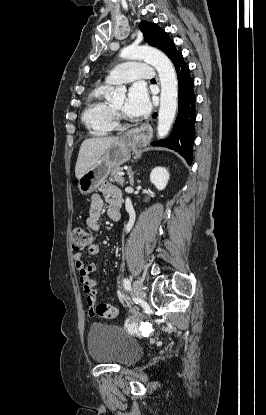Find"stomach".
Masks as SVG:
<instances>
[{
    "instance_id": "stomach-1",
    "label": "stomach",
    "mask_w": 266,
    "mask_h": 415,
    "mask_svg": "<svg viewBox=\"0 0 266 415\" xmlns=\"http://www.w3.org/2000/svg\"><path fill=\"white\" fill-rule=\"evenodd\" d=\"M130 147L131 141L128 137H122L110 145L98 161L78 179L80 193H92L114 168L126 163L131 157Z\"/></svg>"
}]
</instances>
